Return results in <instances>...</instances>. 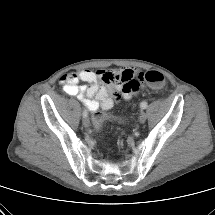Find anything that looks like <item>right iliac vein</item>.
Returning a JSON list of instances; mask_svg holds the SVG:
<instances>
[{
  "instance_id": "1",
  "label": "right iliac vein",
  "mask_w": 215,
  "mask_h": 215,
  "mask_svg": "<svg viewBox=\"0 0 215 215\" xmlns=\"http://www.w3.org/2000/svg\"><path fill=\"white\" fill-rule=\"evenodd\" d=\"M82 123L85 127H88L89 124H90V121L88 119V117H84L83 120H82Z\"/></svg>"
}]
</instances>
